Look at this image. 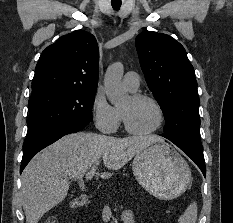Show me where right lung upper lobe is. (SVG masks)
Here are the masks:
<instances>
[{
  "instance_id": "right-lung-upper-lobe-1",
  "label": "right lung upper lobe",
  "mask_w": 233,
  "mask_h": 223,
  "mask_svg": "<svg viewBox=\"0 0 233 223\" xmlns=\"http://www.w3.org/2000/svg\"><path fill=\"white\" fill-rule=\"evenodd\" d=\"M98 64L99 50L92 34L76 30L62 36L42 52L32 94L52 89L96 90Z\"/></svg>"
}]
</instances>
